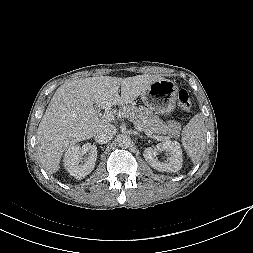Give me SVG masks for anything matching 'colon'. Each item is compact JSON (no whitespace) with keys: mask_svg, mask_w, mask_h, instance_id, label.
<instances>
[{"mask_svg":"<svg viewBox=\"0 0 253 253\" xmlns=\"http://www.w3.org/2000/svg\"><path fill=\"white\" fill-rule=\"evenodd\" d=\"M177 99H178V103H179L180 107L183 110L189 111L191 109L190 97H189V94L186 90L181 89L178 92Z\"/></svg>","mask_w":253,"mask_h":253,"instance_id":"1","label":"colon"}]
</instances>
